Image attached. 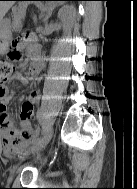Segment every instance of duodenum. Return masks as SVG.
I'll use <instances>...</instances> for the list:
<instances>
[{
	"label": "duodenum",
	"instance_id": "obj_1",
	"mask_svg": "<svg viewBox=\"0 0 137 189\" xmlns=\"http://www.w3.org/2000/svg\"><path fill=\"white\" fill-rule=\"evenodd\" d=\"M30 55L33 56L35 58L36 61L40 60V51L39 48L37 47H32L30 50Z\"/></svg>",
	"mask_w": 137,
	"mask_h": 189
}]
</instances>
